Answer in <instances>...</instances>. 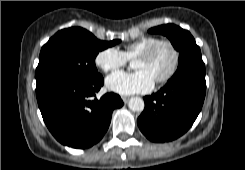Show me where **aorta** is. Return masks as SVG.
Wrapping results in <instances>:
<instances>
[{
    "mask_svg": "<svg viewBox=\"0 0 245 170\" xmlns=\"http://www.w3.org/2000/svg\"><path fill=\"white\" fill-rule=\"evenodd\" d=\"M144 101L140 97H132L128 102V107L134 112H141L144 110Z\"/></svg>",
    "mask_w": 245,
    "mask_h": 170,
    "instance_id": "1",
    "label": "aorta"
}]
</instances>
